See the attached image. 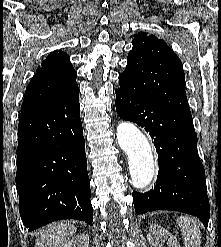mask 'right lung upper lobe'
<instances>
[{
  "label": "right lung upper lobe",
  "mask_w": 221,
  "mask_h": 247,
  "mask_svg": "<svg viewBox=\"0 0 221 247\" xmlns=\"http://www.w3.org/2000/svg\"><path fill=\"white\" fill-rule=\"evenodd\" d=\"M69 55L59 50L46 57L27 86L21 111L65 98L78 90Z\"/></svg>",
  "instance_id": "right-lung-upper-lobe-1"
}]
</instances>
